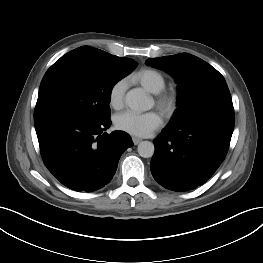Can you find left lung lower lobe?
Segmentation results:
<instances>
[{
  "label": "left lung lower lobe",
  "mask_w": 263,
  "mask_h": 263,
  "mask_svg": "<svg viewBox=\"0 0 263 263\" xmlns=\"http://www.w3.org/2000/svg\"><path fill=\"white\" fill-rule=\"evenodd\" d=\"M234 129V112L216 111L168 124L154 140L151 173L164 188L184 192L204 184L221 165Z\"/></svg>",
  "instance_id": "obj_1"
}]
</instances>
